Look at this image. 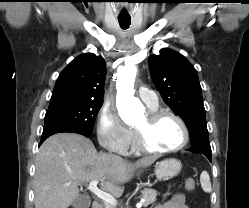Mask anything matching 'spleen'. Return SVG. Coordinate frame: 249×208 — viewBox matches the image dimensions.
I'll return each mask as SVG.
<instances>
[{"label":"spleen","instance_id":"spleen-1","mask_svg":"<svg viewBox=\"0 0 249 208\" xmlns=\"http://www.w3.org/2000/svg\"><path fill=\"white\" fill-rule=\"evenodd\" d=\"M200 182H201L202 189L206 193H210L211 192V182H210V177H209V174L207 173V171H203L201 173Z\"/></svg>","mask_w":249,"mask_h":208}]
</instances>
